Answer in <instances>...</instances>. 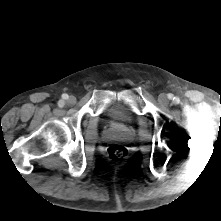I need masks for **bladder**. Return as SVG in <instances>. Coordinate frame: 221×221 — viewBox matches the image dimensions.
I'll return each instance as SVG.
<instances>
[{"mask_svg": "<svg viewBox=\"0 0 221 221\" xmlns=\"http://www.w3.org/2000/svg\"><path fill=\"white\" fill-rule=\"evenodd\" d=\"M105 116L109 123L119 125H132L135 121L133 113L126 106L114 102L107 106Z\"/></svg>", "mask_w": 221, "mask_h": 221, "instance_id": "1", "label": "bladder"}]
</instances>
